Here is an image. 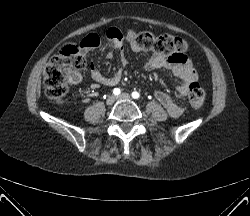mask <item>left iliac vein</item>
<instances>
[{
    "label": "left iliac vein",
    "mask_w": 250,
    "mask_h": 216,
    "mask_svg": "<svg viewBox=\"0 0 250 216\" xmlns=\"http://www.w3.org/2000/svg\"><path fill=\"white\" fill-rule=\"evenodd\" d=\"M117 100H130L131 96L128 93H122L116 97Z\"/></svg>",
    "instance_id": "left-iliac-vein-1"
}]
</instances>
